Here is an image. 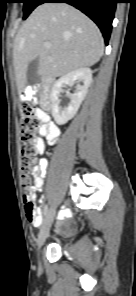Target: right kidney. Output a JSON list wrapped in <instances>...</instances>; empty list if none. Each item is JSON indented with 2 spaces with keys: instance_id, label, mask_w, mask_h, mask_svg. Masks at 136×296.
I'll list each match as a JSON object with an SVG mask.
<instances>
[{
  "instance_id": "ca27d5eb",
  "label": "right kidney",
  "mask_w": 136,
  "mask_h": 296,
  "mask_svg": "<svg viewBox=\"0 0 136 296\" xmlns=\"http://www.w3.org/2000/svg\"><path fill=\"white\" fill-rule=\"evenodd\" d=\"M91 82L92 71L88 67L76 69L55 81L51 89V108L52 116L57 124H65L75 116ZM75 83H77L76 92L74 94L67 92L70 103L66 107H61L59 96L63 92V87L66 85L73 86Z\"/></svg>"
}]
</instances>
